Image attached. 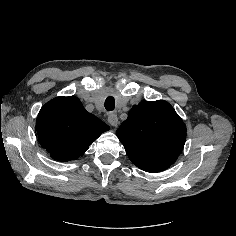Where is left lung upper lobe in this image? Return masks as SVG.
<instances>
[{"mask_svg": "<svg viewBox=\"0 0 236 236\" xmlns=\"http://www.w3.org/2000/svg\"><path fill=\"white\" fill-rule=\"evenodd\" d=\"M116 135L137 167L160 172L182 152L186 126L168 102L143 101L130 110Z\"/></svg>", "mask_w": 236, "mask_h": 236, "instance_id": "5c2ea615", "label": "left lung upper lobe"}]
</instances>
